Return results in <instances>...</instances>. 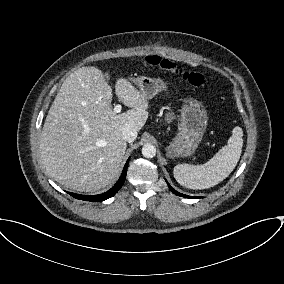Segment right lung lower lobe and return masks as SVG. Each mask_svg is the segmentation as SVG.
<instances>
[{"label":"right lung lower lobe","mask_w":284,"mask_h":284,"mask_svg":"<svg viewBox=\"0 0 284 284\" xmlns=\"http://www.w3.org/2000/svg\"><path fill=\"white\" fill-rule=\"evenodd\" d=\"M128 162H129V159L127 160V162L124 166L123 172H122L118 182L107 192H105L103 194H99V195H79V194L70 193V192H68V193L76 199L85 200V201H92V202L103 201V200H106V199L114 196L124 184V181H125V178H126Z\"/></svg>","instance_id":"obj_1"}]
</instances>
